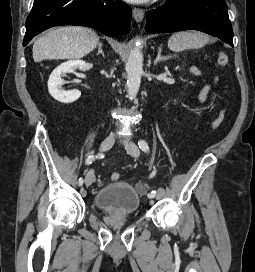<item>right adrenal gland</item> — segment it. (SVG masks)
<instances>
[{
    "instance_id": "right-adrenal-gland-1",
    "label": "right adrenal gland",
    "mask_w": 255,
    "mask_h": 272,
    "mask_svg": "<svg viewBox=\"0 0 255 272\" xmlns=\"http://www.w3.org/2000/svg\"><path fill=\"white\" fill-rule=\"evenodd\" d=\"M99 54H102V56L105 58L104 52L102 50V43L98 44V53H97V55H99Z\"/></svg>"
}]
</instances>
